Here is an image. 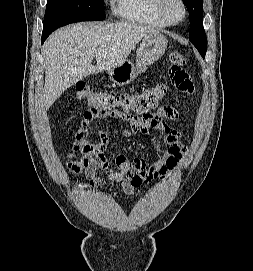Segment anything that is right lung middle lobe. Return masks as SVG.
I'll use <instances>...</instances> for the list:
<instances>
[{
	"label": "right lung middle lobe",
	"instance_id": "obj_1",
	"mask_svg": "<svg viewBox=\"0 0 253 271\" xmlns=\"http://www.w3.org/2000/svg\"><path fill=\"white\" fill-rule=\"evenodd\" d=\"M104 0H47L43 33L79 21L103 20Z\"/></svg>",
	"mask_w": 253,
	"mask_h": 271
}]
</instances>
